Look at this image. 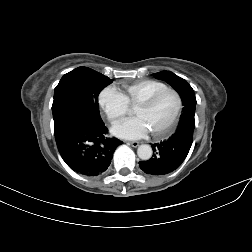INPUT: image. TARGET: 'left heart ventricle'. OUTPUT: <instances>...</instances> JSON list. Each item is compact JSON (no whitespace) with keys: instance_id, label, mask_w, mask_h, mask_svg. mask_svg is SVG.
Wrapping results in <instances>:
<instances>
[{"instance_id":"b2bd125f","label":"left heart ventricle","mask_w":252,"mask_h":252,"mask_svg":"<svg viewBox=\"0 0 252 252\" xmlns=\"http://www.w3.org/2000/svg\"><path fill=\"white\" fill-rule=\"evenodd\" d=\"M177 107V98L171 92H166L158 97L148 107L135 108L134 114L141 117L150 132L164 128L171 120Z\"/></svg>"}]
</instances>
